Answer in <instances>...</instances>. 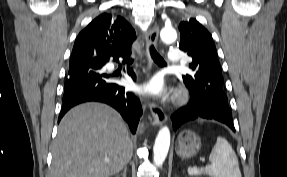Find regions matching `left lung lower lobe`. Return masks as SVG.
Masks as SVG:
<instances>
[{
    "mask_svg": "<svg viewBox=\"0 0 287 177\" xmlns=\"http://www.w3.org/2000/svg\"><path fill=\"white\" fill-rule=\"evenodd\" d=\"M191 93V100L187 106L180 108L172 115L173 128L177 130L183 123L197 117L215 119L228 125L235 131L232 115L229 109L227 96L222 91L210 92V99H199L193 90L187 86Z\"/></svg>",
    "mask_w": 287,
    "mask_h": 177,
    "instance_id": "0a47b994",
    "label": "left lung lower lobe"
}]
</instances>
